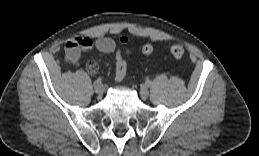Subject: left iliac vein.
<instances>
[{"mask_svg": "<svg viewBox=\"0 0 259 156\" xmlns=\"http://www.w3.org/2000/svg\"><path fill=\"white\" fill-rule=\"evenodd\" d=\"M140 96H141L142 99H147L148 98L149 91H148V89L145 86L141 87V89H140Z\"/></svg>", "mask_w": 259, "mask_h": 156, "instance_id": "1", "label": "left iliac vein"}]
</instances>
